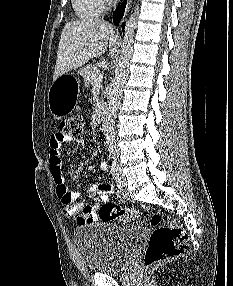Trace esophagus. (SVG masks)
I'll use <instances>...</instances> for the list:
<instances>
[{
  "mask_svg": "<svg viewBox=\"0 0 233 286\" xmlns=\"http://www.w3.org/2000/svg\"><path fill=\"white\" fill-rule=\"evenodd\" d=\"M128 2H129V3H131V2H132V0H128Z\"/></svg>",
  "mask_w": 233,
  "mask_h": 286,
  "instance_id": "1",
  "label": "esophagus"
}]
</instances>
